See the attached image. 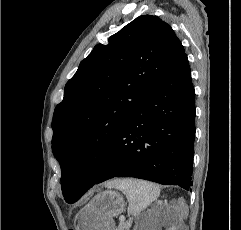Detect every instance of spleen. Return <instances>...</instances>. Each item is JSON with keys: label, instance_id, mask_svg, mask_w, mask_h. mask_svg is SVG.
I'll list each match as a JSON object with an SVG mask.
<instances>
[{"label": "spleen", "instance_id": "spleen-1", "mask_svg": "<svg viewBox=\"0 0 241 230\" xmlns=\"http://www.w3.org/2000/svg\"><path fill=\"white\" fill-rule=\"evenodd\" d=\"M107 188L122 191L129 203V213L138 216L160 195V188L151 182L136 179H116L106 184Z\"/></svg>", "mask_w": 241, "mask_h": 230}]
</instances>
